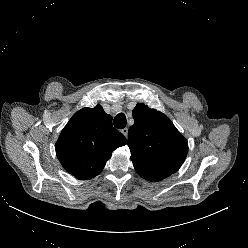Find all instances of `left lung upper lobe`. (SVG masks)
I'll return each mask as SVG.
<instances>
[{
  "label": "left lung upper lobe",
  "mask_w": 248,
  "mask_h": 248,
  "mask_svg": "<svg viewBox=\"0 0 248 248\" xmlns=\"http://www.w3.org/2000/svg\"><path fill=\"white\" fill-rule=\"evenodd\" d=\"M134 125L128 146L136 172L149 181H160L179 170L187 152V140L160 111L138 103L132 111Z\"/></svg>",
  "instance_id": "obj_1"
}]
</instances>
